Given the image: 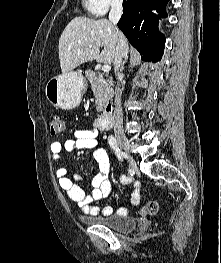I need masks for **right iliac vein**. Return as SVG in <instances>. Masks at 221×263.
<instances>
[{
    "instance_id": "obj_1",
    "label": "right iliac vein",
    "mask_w": 221,
    "mask_h": 263,
    "mask_svg": "<svg viewBox=\"0 0 221 263\" xmlns=\"http://www.w3.org/2000/svg\"><path fill=\"white\" fill-rule=\"evenodd\" d=\"M117 143L121 147V149L123 150V152H124L125 156L127 157L130 165L133 168H135V161L133 159V156L130 153V146H129L128 139L123 135H118L117 136Z\"/></svg>"
}]
</instances>
